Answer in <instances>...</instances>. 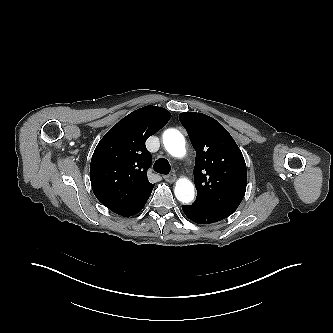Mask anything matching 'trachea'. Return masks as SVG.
Returning a JSON list of instances; mask_svg holds the SVG:
<instances>
[{
    "label": "trachea",
    "instance_id": "trachea-1",
    "mask_svg": "<svg viewBox=\"0 0 333 333\" xmlns=\"http://www.w3.org/2000/svg\"><path fill=\"white\" fill-rule=\"evenodd\" d=\"M154 171L160 174L167 175L169 174L171 167L165 158L158 159L153 165Z\"/></svg>",
    "mask_w": 333,
    "mask_h": 333
}]
</instances>
